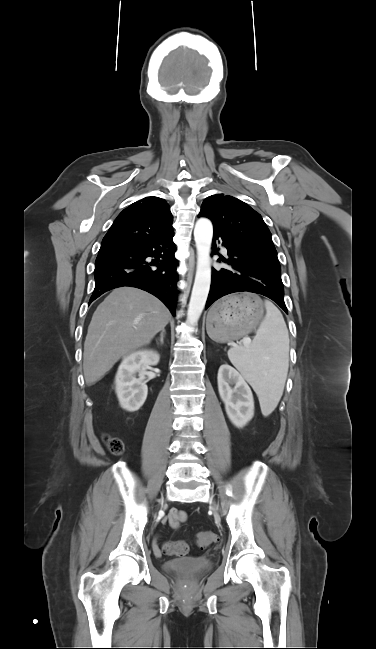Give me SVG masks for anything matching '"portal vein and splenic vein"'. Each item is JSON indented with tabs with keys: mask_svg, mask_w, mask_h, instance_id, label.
Here are the masks:
<instances>
[{
	"mask_svg": "<svg viewBox=\"0 0 376 649\" xmlns=\"http://www.w3.org/2000/svg\"><path fill=\"white\" fill-rule=\"evenodd\" d=\"M250 341H251L250 338H245V339L243 340V343H244V344H248V343H250Z\"/></svg>",
	"mask_w": 376,
	"mask_h": 649,
	"instance_id": "1",
	"label": "portal vein and splenic vein"
}]
</instances>
